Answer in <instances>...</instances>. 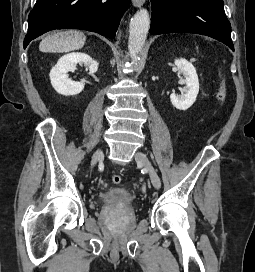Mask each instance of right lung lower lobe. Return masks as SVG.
I'll return each instance as SVG.
<instances>
[{
	"instance_id": "right-lung-lower-lobe-1",
	"label": "right lung lower lobe",
	"mask_w": 255,
	"mask_h": 272,
	"mask_svg": "<svg viewBox=\"0 0 255 272\" xmlns=\"http://www.w3.org/2000/svg\"><path fill=\"white\" fill-rule=\"evenodd\" d=\"M130 0H37L28 17L24 48L54 29H82L114 38Z\"/></svg>"
}]
</instances>
